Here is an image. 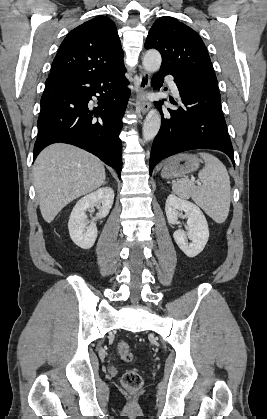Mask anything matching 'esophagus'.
<instances>
[{
  "instance_id": "1",
  "label": "esophagus",
  "mask_w": 267,
  "mask_h": 419,
  "mask_svg": "<svg viewBox=\"0 0 267 419\" xmlns=\"http://www.w3.org/2000/svg\"><path fill=\"white\" fill-rule=\"evenodd\" d=\"M149 82H150V74L140 68L137 107L143 114H145L151 108L150 101H148L144 97V94L146 90L148 89Z\"/></svg>"
}]
</instances>
